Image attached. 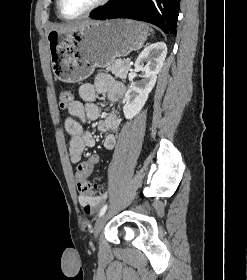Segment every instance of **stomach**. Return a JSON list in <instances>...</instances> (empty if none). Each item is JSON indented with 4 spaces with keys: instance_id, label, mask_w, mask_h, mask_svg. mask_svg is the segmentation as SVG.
<instances>
[{
    "instance_id": "1",
    "label": "stomach",
    "mask_w": 247,
    "mask_h": 280,
    "mask_svg": "<svg viewBox=\"0 0 247 280\" xmlns=\"http://www.w3.org/2000/svg\"><path fill=\"white\" fill-rule=\"evenodd\" d=\"M147 35L145 23L127 19L96 21L76 31L52 30L47 41L54 75L63 82H80L96 67L140 49Z\"/></svg>"
}]
</instances>
